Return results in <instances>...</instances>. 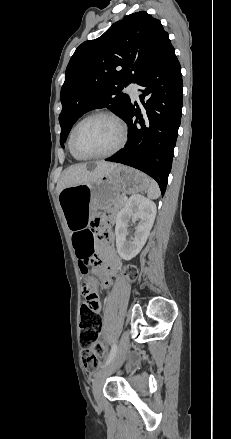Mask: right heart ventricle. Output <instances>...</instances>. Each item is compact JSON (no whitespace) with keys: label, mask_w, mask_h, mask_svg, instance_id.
<instances>
[{"label":"right heart ventricle","mask_w":231,"mask_h":439,"mask_svg":"<svg viewBox=\"0 0 231 439\" xmlns=\"http://www.w3.org/2000/svg\"><path fill=\"white\" fill-rule=\"evenodd\" d=\"M71 151V150H70ZM71 154L73 155V157L75 158V159H80L79 157H77L75 154H73L72 152H71Z\"/></svg>","instance_id":"obj_1"}]
</instances>
